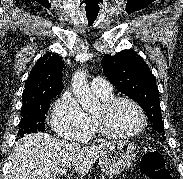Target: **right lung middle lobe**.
Here are the masks:
<instances>
[{
    "mask_svg": "<svg viewBox=\"0 0 183 179\" xmlns=\"http://www.w3.org/2000/svg\"><path fill=\"white\" fill-rule=\"evenodd\" d=\"M55 96L43 97L38 100L26 103L21 108V121L19 123L18 135L23 137L25 134L41 132L45 130V114L49 109L51 99Z\"/></svg>",
    "mask_w": 183,
    "mask_h": 179,
    "instance_id": "1",
    "label": "right lung middle lobe"
}]
</instances>
